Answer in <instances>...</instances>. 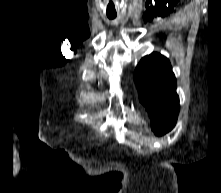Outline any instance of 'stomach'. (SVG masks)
<instances>
[{
    "label": "stomach",
    "mask_w": 221,
    "mask_h": 193,
    "mask_svg": "<svg viewBox=\"0 0 221 193\" xmlns=\"http://www.w3.org/2000/svg\"><path fill=\"white\" fill-rule=\"evenodd\" d=\"M123 105L125 106L126 104L124 103ZM127 107L129 108L130 106L128 105Z\"/></svg>",
    "instance_id": "0dacf381"
}]
</instances>
